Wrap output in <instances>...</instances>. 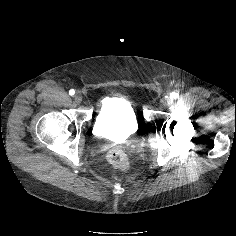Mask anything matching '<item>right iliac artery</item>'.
<instances>
[{
  "label": "right iliac artery",
  "mask_w": 236,
  "mask_h": 236,
  "mask_svg": "<svg viewBox=\"0 0 236 236\" xmlns=\"http://www.w3.org/2000/svg\"><path fill=\"white\" fill-rule=\"evenodd\" d=\"M69 94H70L71 96H73V95L75 94L74 89H71V90L69 91Z\"/></svg>",
  "instance_id": "1"
}]
</instances>
